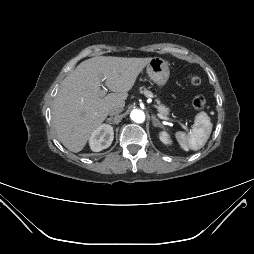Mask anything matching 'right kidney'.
Returning a JSON list of instances; mask_svg holds the SVG:
<instances>
[{"label":"right kidney","mask_w":254,"mask_h":254,"mask_svg":"<svg viewBox=\"0 0 254 254\" xmlns=\"http://www.w3.org/2000/svg\"><path fill=\"white\" fill-rule=\"evenodd\" d=\"M113 139V127L109 124H103L91 134L89 145L92 151L99 152L108 148L112 144Z\"/></svg>","instance_id":"1"}]
</instances>
